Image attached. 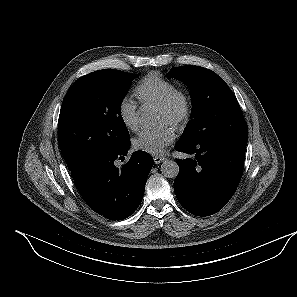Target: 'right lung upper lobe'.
<instances>
[{
    "mask_svg": "<svg viewBox=\"0 0 297 297\" xmlns=\"http://www.w3.org/2000/svg\"><path fill=\"white\" fill-rule=\"evenodd\" d=\"M105 70H107V69H105ZM105 70H99V71H105Z\"/></svg>",
    "mask_w": 297,
    "mask_h": 297,
    "instance_id": "cb5924a9",
    "label": "right lung upper lobe"
}]
</instances>
